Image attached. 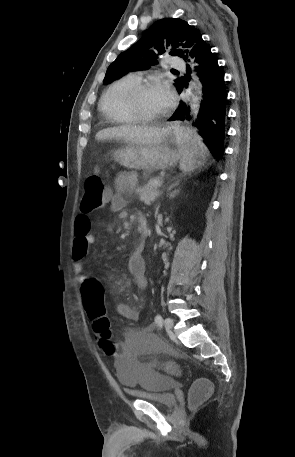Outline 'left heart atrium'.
<instances>
[{"instance_id": "obj_1", "label": "left heart atrium", "mask_w": 295, "mask_h": 457, "mask_svg": "<svg viewBox=\"0 0 295 457\" xmlns=\"http://www.w3.org/2000/svg\"><path fill=\"white\" fill-rule=\"evenodd\" d=\"M155 94L161 105L167 109L174 103L175 95L169 84L159 82L154 88Z\"/></svg>"}]
</instances>
